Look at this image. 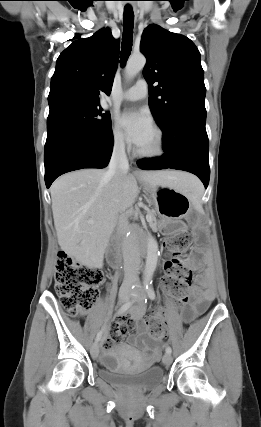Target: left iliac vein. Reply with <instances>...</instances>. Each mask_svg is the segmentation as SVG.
Instances as JSON below:
<instances>
[{
	"label": "left iliac vein",
	"instance_id": "1",
	"mask_svg": "<svg viewBox=\"0 0 261 427\" xmlns=\"http://www.w3.org/2000/svg\"><path fill=\"white\" fill-rule=\"evenodd\" d=\"M145 298H146V295H145L144 293H139V295H138V296H134V297H132V300H133L136 304H138L139 306H142V305H144V300H145ZM162 361H163V363H164L166 366L170 365V364H171V362H172V356H171V354H169V353H165V354H164V356H163V358H162Z\"/></svg>",
	"mask_w": 261,
	"mask_h": 427
}]
</instances>
